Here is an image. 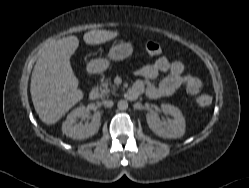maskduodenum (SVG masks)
Instances as JSON below:
<instances>
[{
	"mask_svg": "<svg viewBox=\"0 0 249 188\" xmlns=\"http://www.w3.org/2000/svg\"><path fill=\"white\" fill-rule=\"evenodd\" d=\"M89 74L90 75H94L95 72L94 70H89ZM139 90L136 89V88H130L127 92H126V96L129 98V99H136L139 95ZM99 98V91L95 88L91 89L90 93H89V99L92 100V101H95Z\"/></svg>",
	"mask_w": 249,
	"mask_h": 188,
	"instance_id": "410a0bca",
	"label": "duodenum"
}]
</instances>
